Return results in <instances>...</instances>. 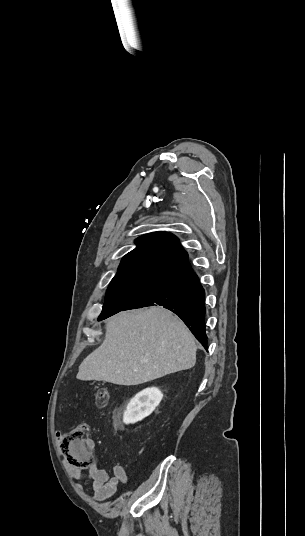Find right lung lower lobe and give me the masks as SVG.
<instances>
[{"label": "right lung lower lobe", "mask_w": 305, "mask_h": 536, "mask_svg": "<svg viewBox=\"0 0 305 536\" xmlns=\"http://www.w3.org/2000/svg\"><path fill=\"white\" fill-rule=\"evenodd\" d=\"M204 302V289L196 273L189 267L165 277L150 291L123 310L156 304L163 306L177 314L207 350V335L205 333L206 309Z\"/></svg>", "instance_id": "98d812e1"}]
</instances>
